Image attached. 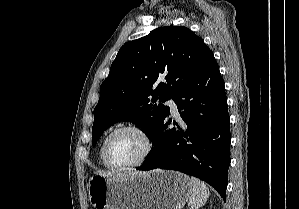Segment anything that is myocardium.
I'll return each mask as SVG.
<instances>
[{"instance_id": "1", "label": "myocardium", "mask_w": 299, "mask_h": 209, "mask_svg": "<svg viewBox=\"0 0 299 209\" xmlns=\"http://www.w3.org/2000/svg\"><path fill=\"white\" fill-rule=\"evenodd\" d=\"M125 131H131L137 133L144 141L145 147L142 155L134 162L127 164V165H122V166H117L111 163L110 158H109V151H110V146L113 141V139L120 133L125 132ZM154 149V140L151 136V134L142 126L137 125V124H126L123 126H120L119 128L115 129L114 131L111 132V134L108 136L105 146H104V163L105 165L116 171H124V170H129L133 169L136 167H139L143 165L151 155L152 151Z\"/></svg>"}]
</instances>
